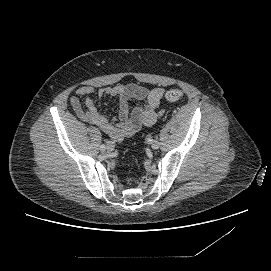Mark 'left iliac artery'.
Listing matches in <instances>:
<instances>
[{
  "instance_id": "44dca946",
  "label": "left iliac artery",
  "mask_w": 271,
  "mask_h": 271,
  "mask_svg": "<svg viewBox=\"0 0 271 271\" xmlns=\"http://www.w3.org/2000/svg\"><path fill=\"white\" fill-rule=\"evenodd\" d=\"M146 141L148 144H151L153 142V139H152V137L149 136L146 138Z\"/></svg>"
}]
</instances>
